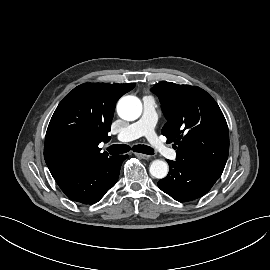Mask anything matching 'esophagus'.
I'll list each match as a JSON object with an SVG mask.
<instances>
[{
  "label": "esophagus",
  "mask_w": 270,
  "mask_h": 270,
  "mask_svg": "<svg viewBox=\"0 0 270 270\" xmlns=\"http://www.w3.org/2000/svg\"><path fill=\"white\" fill-rule=\"evenodd\" d=\"M137 157H139V158H141V159H145V160H148V159H150L151 158V156L150 155H146V154H142V153H138V152H136V153H134Z\"/></svg>",
  "instance_id": "34e87169"
}]
</instances>
